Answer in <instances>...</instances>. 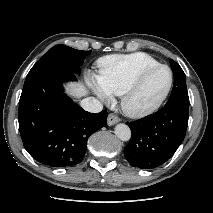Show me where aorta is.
I'll return each mask as SVG.
<instances>
[{
	"label": "aorta",
	"mask_w": 213,
	"mask_h": 213,
	"mask_svg": "<svg viewBox=\"0 0 213 213\" xmlns=\"http://www.w3.org/2000/svg\"><path fill=\"white\" fill-rule=\"evenodd\" d=\"M115 135L122 141H128L131 138V130L126 124H118L115 127Z\"/></svg>",
	"instance_id": "1"
}]
</instances>
